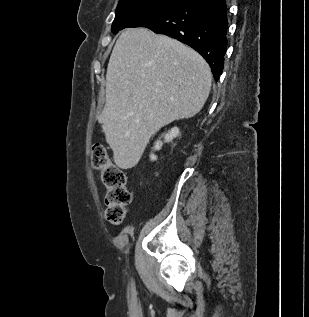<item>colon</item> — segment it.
<instances>
[{
  "label": "colon",
  "mask_w": 309,
  "mask_h": 317,
  "mask_svg": "<svg viewBox=\"0 0 309 317\" xmlns=\"http://www.w3.org/2000/svg\"><path fill=\"white\" fill-rule=\"evenodd\" d=\"M91 165L101 171V180L107 189L105 195V216L108 222L120 224L131 202V193L127 188V179L123 170L114 165L106 149L101 144H94L91 153Z\"/></svg>",
  "instance_id": "colon-1"
}]
</instances>
